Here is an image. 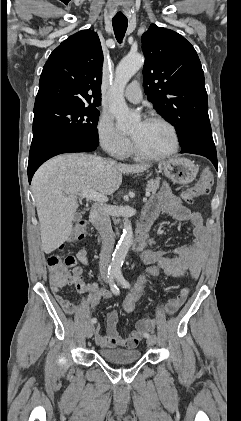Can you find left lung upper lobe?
Masks as SVG:
<instances>
[{
  "label": "left lung upper lobe",
  "instance_id": "1",
  "mask_svg": "<svg viewBox=\"0 0 241 421\" xmlns=\"http://www.w3.org/2000/svg\"><path fill=\"white\" fill-rule=\"evenodd\" d=\"M148 100L177 130L181 148L211 134L204 73L194 47L180 34L150 25L142 35Z\"/></svg>",
  "mask_w": 241,
  "mask_h": 421
}]
</instances>
